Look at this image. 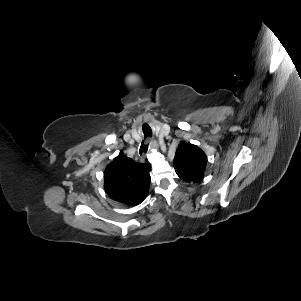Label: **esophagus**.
I'll list each match as a JSON object with an SVG mask.
<instances>
[{
  "label": "esophagus",
  "instance_id": "1",
  "mask_svg": "<svg viewBox=\"0 0 301 301\" xmlns=\"http://www.w3.org/2000/svg\"><path fill=\"white\" fill-rule=\"evenodd\" d=\"M149 148L151 149H157L158 148V143L155 140H152L148 143Z\"/></svg>",
  "mask_w": 301,
  "mask_h": 301
}]
</instances>
